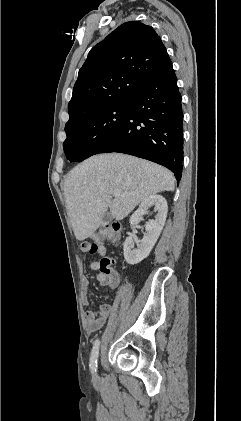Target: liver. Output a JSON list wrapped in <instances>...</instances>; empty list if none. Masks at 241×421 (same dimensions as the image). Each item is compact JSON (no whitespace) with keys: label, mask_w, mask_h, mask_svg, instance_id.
<instances>
[{"label":"liver","mask_w":241,"mask_h":421,"mask_svg":"<svg viewBox=\"0 0 241 421\" xmlns=\"http://www.w3.org/2000/svg\"><path fill=\"white\" fill-rule=\"evenodd\" d=\"M175 178L166 168L134 156L94 155L71 170L64 196L76 239L90 237L107 209L116 221L124 219L140 202L174 190ZM114 192L122 195L112 199Z\"/></svg>","instance_id":"1"}]
</instances>
